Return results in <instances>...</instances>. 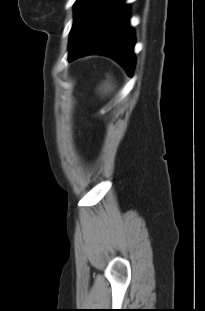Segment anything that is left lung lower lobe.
Segmentation results:
<instances>
[{"instance_id":"0a47b994","label":"left lung lower lobe","mask_w":205,"mask_h":311,"mask_svg":"<svg viewBox=\"0 0 205 311\" xmlns=\"http://www.w3.org/2000/svg\"><path fill=\"white\" fill-rule=\"evenodd\" d=\"M123 2L120 0L112 14L81 44L70 50L68 61L89 54L106 55L121 64L127 74L132 76L135 37L128 25L129 7L123 5Z\"/></svg>"}]
</instances>
